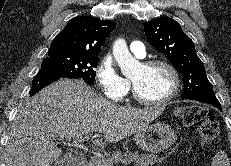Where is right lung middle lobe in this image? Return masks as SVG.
Segmentation results:
<instances>
[{"label":"right lung middle lobe","mask_w":231,"mask_h":166,"mask_svg":"<svg viewBox=\"0 0 231 166\" xmlns=\"http://www.w3.org/2000/svg\"><path fill=\"white\" fill-rule=\"evenodd\" d=\"M98 60L97 55L68 52L48 53L40 70L58 71L80 78L88 84H93L96 76L94 69L98 65Z\"/></svg>","instance_id":"right-lung-middle-lobe-1"}]
</instances>
